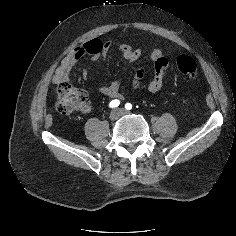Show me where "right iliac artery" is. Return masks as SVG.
I'll return each mask as SVG.
<instances>
[{"label":"right iliac artery","instance_id":"right-iliac-artery-1","mask_svg":"<svg viewBox=\"0 0 236 236\" xmlns=\"http://www.w3.org/2000/svg\"><path fill=\"white\" fill-rule=\"evenodd\" d=\"M120 105V101L119 100H112L110 103H109V107L110 108H116Z\"/></svg>","mask_w":236,"mask_h":236}]
</instances>
